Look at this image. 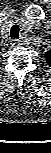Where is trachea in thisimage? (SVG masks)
Wrapping results in <instances>:
<instances>
[{"instance_id": "obj_1", "label": "trachea", "mask_w": 51, "mask_h": 153, "mask_svg": "<svg viewBox=\"0 0 51 153\" xmlns=\"http://www.w3.org/2000/svg\"><path fill=\"white\" fill-rule=\"evenodd\" d=\"M19 31H20L19 25H13L10 32L11 39H18Z\"/></svg>"}]
</instances>
